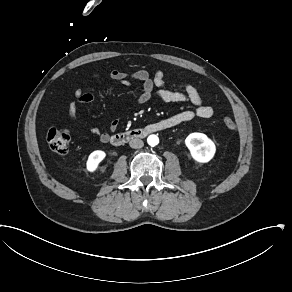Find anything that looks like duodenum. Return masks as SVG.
Listing matches in <instances>:
<instances>
[{
    "mask_svg": "<svg viewBox=\"0 0 292 292\" xmlns=\"http://www.w3.org/2000/svg\"><path fill=\"white\" fill-rule=\"evenodd\" d=\"M163 125L160 123H155L152 125H148L144 128H139V129H129L123 132L116 133L110 138V142L113 145H121L129 140L132 139H140L146 136L147 134L153 133V132H159V131H164L160 130V128Z\"/></svg>",
    "mask_w": 292,
    "mask_h": 292,
    "instance_id": "duodenum-1",
    "label": "duodenum"
}]
</instances>
